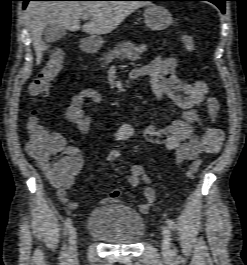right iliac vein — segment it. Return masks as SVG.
Instances as JSON below:
<instances>
[{
  "instance_id": "1",
  "label": "right iliac vein",
  "mask_w": 247,
  "mask_h": 265,
  "mask_svg": "<svg viewBox=\"0 0 247 265\" xmlns=\"http://www.w3.org/2000/svg\"><path fill=\"white\" fill-rule=\"evenodd\" d=\"M68 260L74 262L77 259L78 249H77V232L76 228L72 227L69 232L68 238Z\"/></svg>"
}]
</instances>
